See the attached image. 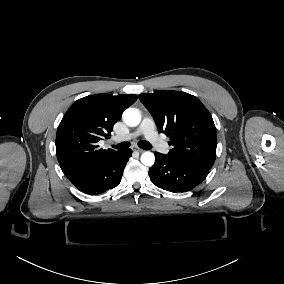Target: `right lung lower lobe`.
Returning <instances> with one entry per match:
<instances>
[{
  "instance_id": "98d812e1",
  "label": "right lung lower lobe",
  "mask_w": 284,
  "mask_h": 284,
  "mask_svg": "<svg viewBox=\"0 0 284 284\" xmlns=\"http://www.w3.org/2000/svg\"><path fill=\"white\" fill-rule=\"evenodd\" d=\"M132 155L131 149L117 151L86 178L75 184L89 195H98L115 188L121 181L123 170Z\"/></svg>"
}]
</instances>
